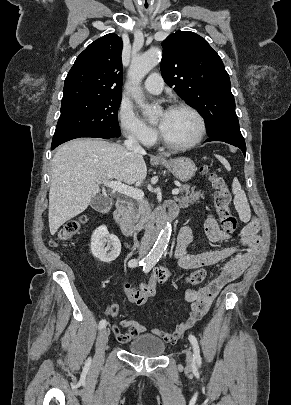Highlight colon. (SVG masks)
<instances>
[{
  "label": "colon",
  "mask_w": 291,
  "mask_h": 405,
  "mask_svg": "<svg viewBox=\"0 0 291 405\" xmlns=\"http://www.w3.org/2000/svg\"><path fill=\"white\" fill-rule=\"evenodd\" d=\"M201 173L209 177V180L215 190L214 204L222 229L229 234L235 232L237 228V219L230 210L231 198L225 179L217 173L212 172L210 166L207 165L201 167ZM85 221V217H80L79 219L67 222L60 230L58 240H69L78 234ZM205 276L206 272L203 269H198L187 277V282L191 285H198L204 280ZM170 279V270L166 267L159 266L154 270L147 282L140 284L136 288L127 285L125 288L126 295L132 303L142 305L146 303L149 298L155 295L159 285L166 283Z\"/></svg>",
  "instance_id": "obj_1"
}]
</instances>
